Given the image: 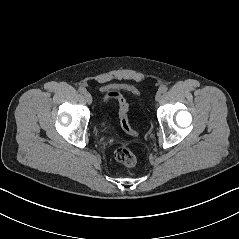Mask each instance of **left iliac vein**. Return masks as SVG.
I'll return each mask as SVG.
<instances>
[{
	"instance_id": "obj_1",
	"label": "left iliac vein",
	"mask_w": 239,
	"mask_h": 239,
	"mask_svg": "<svg viewBox=\"0 0 239 239\" xmlns=\"http://www.w3.org/2000/svg\"><path fill=\"white\" fill-rule=\"evenodd\" d=\"M160 98H161V92L158 91V92L156 93L155 100H156V101H159Z\"/></svg>"
}]
</instances>
